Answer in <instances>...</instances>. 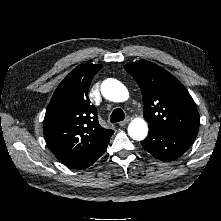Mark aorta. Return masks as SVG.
Returning <instances> with one entry per match:
<instances>
[{
  "mask_svg": "<svg viewBox=\"0 0 221 221\" xmlns=\"http://www.w3.org/2000/svg\"><path fill=\"white\" fill-rule=\"evenodd\" d=\"M102 95L113 102H123L129 97L127 88L116 79H107L101 85ZM128 134L134 140H143L148 134V125L142 118L132 120L128 126Z\"/></svg>",
  "mask_w": 221,
  "mask_h": 221,
  "instance_id": "obj_1",
  "label": "aorta"
}]
</instances>
